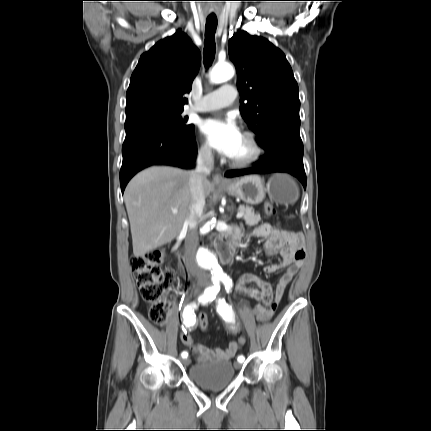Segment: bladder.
<instances>
[{
	"label": "bladder",
	"mask_w": 431,
	"mask_h": 431,
	"mask_svg": "<svg viewBox=\"0 0 431 431\" xmlns=\"http://www.w3.org/2000/svg\"><path fill=\"white\" fill-rule=\"evenodd\" d=\"M188 376L198 386L217 390L230 385L236 378V369L231 361L196 363L188 370Z\"/></svg>",
	"instance_id": "1"
}]
</instances>
